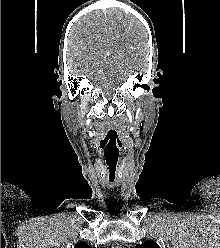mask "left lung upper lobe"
<instances>
[{"label":"left lung upper lobe","instance_id":"obj_1","mask_svg":"<svg viewBox=\"0 0 220 248\" xmlns=\"http://www.w3.org/2000/svg\"><path fill=\"white\" fill-rule=\"evenodd\" d=\"M136 248H160V247L155 242L148 241V242H144L141 245H138Z\"/></svg>","mask_w":220,"mask_h":248}]
</instances>
